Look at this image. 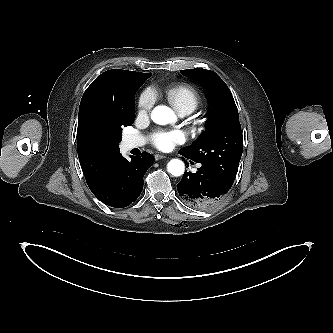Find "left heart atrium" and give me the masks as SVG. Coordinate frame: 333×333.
<instances>
[{
	"mask_svg": "<svg viewBox=\"0 0 333 333\" xmlns=\"http://www.w3.org/2000/svg\"><path fill=\"white\" fill-rule=\"evenodd\" d=\"M152 141L157 148L168 150L174 145L182 143L184 141V135L180 131H159L153 134Z\"/></svg>",
	"mask_w": 333,
	"mask_h": 333,
	"instance_id": "left-heart-atrium-1",
	"label": "left heart atrium"
}]
</instances>
